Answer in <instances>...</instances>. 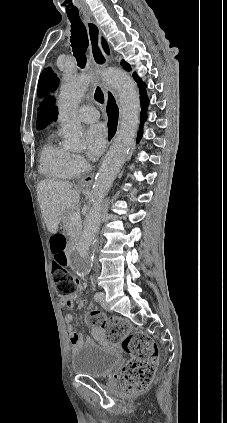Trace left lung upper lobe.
Returning <instances> with one entry per match:
<instances>
[{"mask_svg": "<svg viewBox=\"0 0 227 423\" xmlns=\"http://www.w3.org/2000/svg\"><path fill=\"white\" fill-rule=\"evenodd\" d=\"M121 65L124 69L130 71V66L125 61L121 62ZM133 77L136 80L140 79L136 73H133ZM38 120H37V129H42L47 126L52 121L56 120L57 109L53 105L52 99L46 100L38 109Z\"/></svg>", "mask_w": 227, "mask_h": 423, "instance_id": "left-lung-upper-lobe-1", "label": "left lung upper lobe"}]
</instances>
